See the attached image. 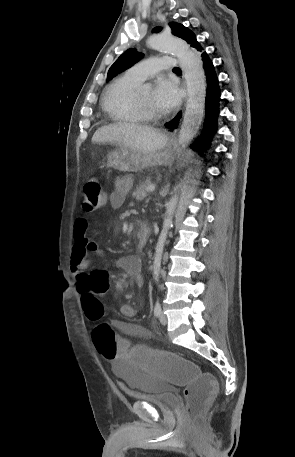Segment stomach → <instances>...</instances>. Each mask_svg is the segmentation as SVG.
I'll return each instance as SVG.
<instances>
[{
    "label": "stomach",
    "instance_id": "obj_1",
    "mask_svg": "<svg viewBox=\"0 0 295 457\" xmlns=\"http://www.w3.org/2000/svg\"><path fill=\"white\" fill-rule=\"evenodd\" d=\"M171 161L172 156L167 151L139 153L120 147L107 155V167L124 172H137L155 165H168Z\"/></svg>",
    "mask_w": 295,
    "mask_h": 457
}]
</instances>
